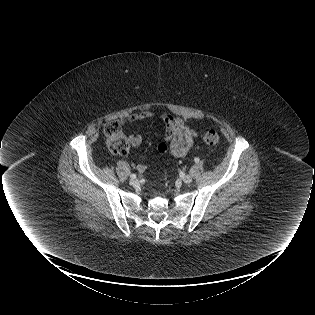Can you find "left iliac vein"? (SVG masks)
Returning <instances> with one entry per match:
<instances>
[{"mask_svg":"<svg viewBox=\"0 0 315 315\" xmlns=\"http://www.w3.org/2000/svg\"><path fill=\"white\" fill-rule=\"evenodd\" d=\"M181 180L185 183V184H189L192 182V176L189 174L183 175L181 177Z\"/></svg>","mask_w":315,"mask_h":315,"instance_id":"1","label":"left iliac vein"}]
</instances>
